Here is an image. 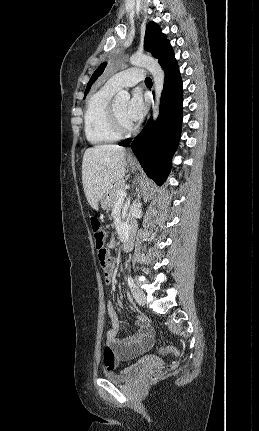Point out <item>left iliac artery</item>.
<instances>
[{
  "label": "left iliac artery",
  "instance_id": "obj_1",
  "mask_svg": "<svg viewBox=\"0 0 259 431\" xmlns=\"http://www.w3.org/2000/svg\"><path fill=\"white\" fill-rule=\"evenodd\" d=\"M127 282H128V285L130 288H132L134 286V281H133L131 276L127 277Z\"/></svg>",
  "mask_w": 259,
  "mask_h": 431
}]
</instances>
